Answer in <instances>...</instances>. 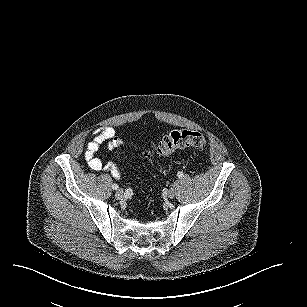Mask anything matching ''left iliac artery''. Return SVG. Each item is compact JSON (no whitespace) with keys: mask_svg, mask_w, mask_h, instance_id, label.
I'll return each mask as SVG.
<instances>
[{"mask_svg":"<svg viewBox=\"0 0 307 307\" xmlns=\"http://www.w3.org/2000/svg\"><path fill=\"white\" fill-rule=\"evenodd\" d=\"M177 176H178L179 178H182V177L184 176V174H183V172L179 171V172L177 173Z\"/></svg>","mask_w":307,"mask_h":307,"instance_id":"1","label":"left iliac artery"}]
</instances>
